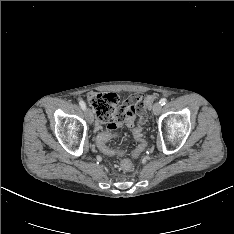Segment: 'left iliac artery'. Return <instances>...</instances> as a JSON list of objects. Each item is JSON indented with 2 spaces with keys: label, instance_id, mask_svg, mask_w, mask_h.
Returning <instances> with one entry per match:
<instances>
[{
  "label": "left iliac artery",
  "instance_id": "1",
  "mask_svg": "<svg viewBox=\"0 0 234 234\" xmlns=\"http://www.w3.org/2000/svg\"><path fill=\"white\" fill-rule=\"evenodd\" d=\"M166 102H167V99H166V98H162V99L160 100V104H161L162 106L165 105Z\"/></svg>",
  "mask_w": 234,
  "mask_h": 234
}]
</instances>
